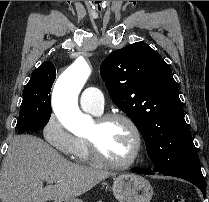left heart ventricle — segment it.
<instances>
[{"label": "left heart ventricle", "instance_id": "b2bd125f", "mask_svg": "<svg viewBox=\"0 0 209 202\" xmlns=\"http://www.w3.org/2000/svg\"><path fill=\"white\" fill-rule=\"evenodd\" d=\"M86 137L94 138L101 152L115 162L130 159L135 148L134 134L123 121H112L102 128L95 121Z\"/></svg>", "mask_w": 209, "mask_h": 202}]
</instances>
